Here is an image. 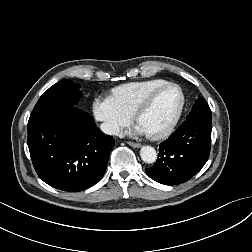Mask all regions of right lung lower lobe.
<instances>
[{"mask_svg":"<svg viewBox=\"0 0 252 252\" xmlns=\"http://www.w3.org/2000/svg\"><path fill=\"white\" fill-rule=\"evenodd\" d=\"M115 144L93 117L76 106L51 110L28 121V147L38 176L63 191L78 192L104 175Z\"/></svg>","mask_w":252,"mask_h":252,"instance_id":"right-lung-lower-lobe-1","label":"right lung lower lobe"}]
</instances>
